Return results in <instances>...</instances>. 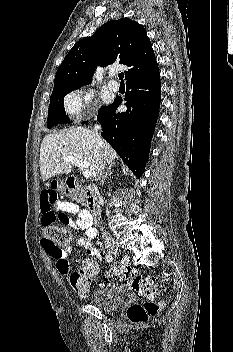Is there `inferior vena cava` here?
<instances>
[{
    "instance_id": "inferior-vena-cava-1",
    "label": "inferior vena cava",
    "mask_w": 233,
    "mask_h": 352,
    "mask_svg": "<svg viewBox=\"0 0 233 352\" xmlns=\"http://www.w3.org/2000/svg\"><path fill=\"white\" fill-rule=\"evenodd\" d=\"M100 129H101V126L96 124L94 126L93 132H94V134L96 136L97 141L100 144H102V139H101V137L99 136V133H98V131ZM105 163H106L105 159H101L100 164H99V168H98V173H97V178L98 179H101V177H103V170L105 168ZM102 238H103V240H104V242H105V244L107 246L113 243L112 237L110 235L106 234V233L102 234Z\"/></svg>"
}]
</instances>
